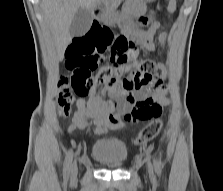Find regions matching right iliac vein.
<instances>
[{
	"label": "right iliac vein",
	"mask_w": 223,
	"mask_h": 191,
	"mask_svg": "<svg viewBox=\"0 0 223 191\" xmlns=\"http://www.w3.org/2000/svg\"><path fill=\"white\" fill-rule=\"evenodd\" d=\"M77 175V162L74 161L71 165V176L75 177Z\"/></svg>",
	"instance_id": "63e3f726"
}]
</instances>
